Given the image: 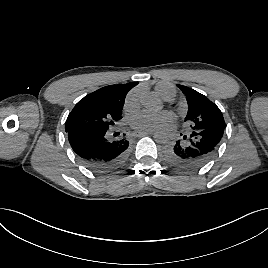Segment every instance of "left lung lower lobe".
<instances>
[{"label":"left lung lower lobe","mask_w":268,"mask_h":268,"mask_svg":"<svg viewBox=\"0 0 268 268\" xmlns=\"http://www.w3.org/2000/svg\"><path fill=\"white\" fill-rule=\"evenodd\" d=\"M224 129L192 131L186 142H176L171 160L183 169L200 168L217 152Z\"/></svg>","instance_id":"1"}]
</instances>
